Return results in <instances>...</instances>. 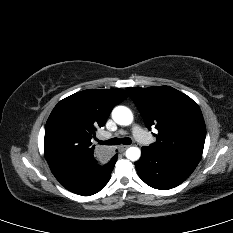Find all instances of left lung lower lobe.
Masks as SVG:
<instances>
[{
    "mask_svg": "<svg viewBox=\"0 0 233 233\" xmlns=\"http://www.w3.org/2000/svg\"><path fill=\"white\" fill-rule=\"evenodd\" d=\"M200 155L178 151H155L142 147L135 162L139 177L150 187L167 190L178 186L194 171Z\"/></svg>",
    "mask_w": 233,
    "mask_h": 233,
    "instance_id": "1",
    "label": "left lung lower lobe"
}]
</instances>
